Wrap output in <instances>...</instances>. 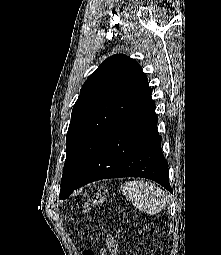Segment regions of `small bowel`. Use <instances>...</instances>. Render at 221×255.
Returning <instances> with one entry per match:
<instances>
[{
	"label": "small bowel",
	"instance_id": "small-bowel-1",
	"mask_svg": "<svg viewBox=\"0 0 221 255\" xmlns=\"http://www.w3.org/2000/svg\"><path fill=\"white\" fill-rule=\"evenodd\" d=\"M105 241L108 247L109 255H117L116 241L111 236H107ZM101 255H107V254L104 251H102Z\"/></svg>",
	"mask_w": 221,
	"mask_h": 255
}]
</instances>
